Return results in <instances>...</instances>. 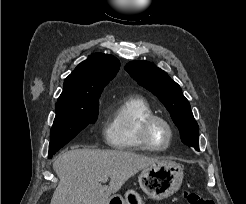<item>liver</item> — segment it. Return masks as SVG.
Returning <instances> with one entry per match:
<instances>
[{"label":"liver","mask_w":246,"mask_h":204,"mask_svg":"<svg viewBox=\"0 0 246 204\" xmlns=\"http://www.w3.org/2000/svg\"><path fill=\"white\" fill-rule=\"evenodd\" d=\"M159 160L131 151L72 149L53 163L60 181L50 204H105L140 170ZM109 185H104L105 178Z\"/></svg>","instance_id":"6515ba94"}]
</instances>
